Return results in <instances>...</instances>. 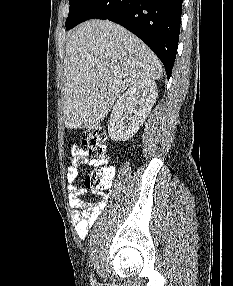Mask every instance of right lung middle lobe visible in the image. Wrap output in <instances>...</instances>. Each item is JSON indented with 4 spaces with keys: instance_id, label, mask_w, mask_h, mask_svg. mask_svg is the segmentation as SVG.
Masks as SVG:
<instances>
[{
    "instance_id": "obj_1",
    "label": "right lung middle lobe",
    "mask_w": 233,
    "mask_h": 286,
    "mask_svg": "<svg viewBox=\"0 0 233 286\" xmlns=\"http://www.w3.org/2000/svg\"><path fill=\"white\" fill-rule=\"evenodd\" d=\"M91 0H69V16L66 20V28L71 27L77 20L83 9L88 5Z\"/></svg>"
}]
</instances>
